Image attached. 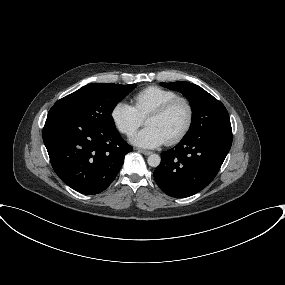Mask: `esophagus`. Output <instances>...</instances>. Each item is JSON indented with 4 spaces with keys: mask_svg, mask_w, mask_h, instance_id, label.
<instances>
[{
    "mask_svg": "<svg viewBox=\"0 0 285 285\" xmlns=\"http://www.w3.org/2000/svg\"><path fill=\"white\" fill-rule=\"evenodd\" d=\"M138 152L144 154V155H150L152 154V151H149V150H145V149H137Z\"/></svg>",
    "mask_w": 285,
    "mask_h": 285,
    "instance_id": "1",
    "label": "esophagus"
}]
</instances>
